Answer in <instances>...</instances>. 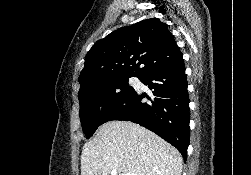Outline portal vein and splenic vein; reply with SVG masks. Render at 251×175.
<instances>
[{
    "label": "portal vein and splenic vein",
    "mask_w": 251,
    "mask_h": 175,
    "mask_svg": "<svg viewBox=\"0 0 251 175\" xmlns=\"http://www.w3.org/2000/svg\"><path fill=\"white\" fill-rule=\"evenodd\" d=\"M111 175H117L116 169H112ZM119 175H138V173H119ZM141 175H144V173H141Z\"/></svg>",
    "instance_id": "obj_1"
}]
</instances>
